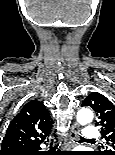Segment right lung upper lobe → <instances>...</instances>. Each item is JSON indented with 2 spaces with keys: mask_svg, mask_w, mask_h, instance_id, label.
Returning a JSON list of instances; mask_svg holds the SVG:
<instances>
[{
  "mask_svg": "<svg viewBox=\"0 0 115 155\" xmlns=\"http://www.w3.org/2000/svg\"><path fill=\"white\" fill-rule=\"evenodd\" d=\"M52 119L45 105L31 100L11 121L3 138L0 155L40 146L51 133Z\"/></svg>",
  "mask_w": 115,
  "mask_h": 155,
  "instance_id": "obj_1",
  "label": "right lung upper lobe"
}]
</instances>
